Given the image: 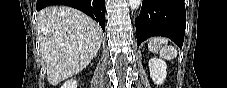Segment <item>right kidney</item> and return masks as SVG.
I'll use <instances>...</instances> for the list:
<instances>
[{
  "mask_svg": "<svg viewBox=\"0 0 227 88\" xmlns=\"http://www.w3.org/2000/svg\"><path fill=\"white\" fill-rule=\"evenodd\" d=\"M61 88H77V81L75 79L67 80Z\"/></svg>",
  "mask_w": 227,
  "mask_h": 88,
  "instance_id": "obj_1",
  "label": "right kidney"
}]
</instances>
